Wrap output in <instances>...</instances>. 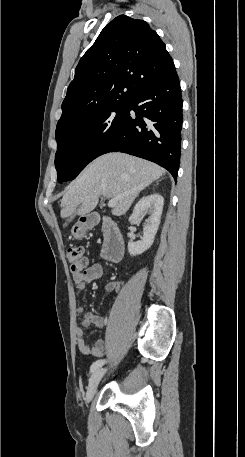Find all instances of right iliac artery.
<instances>
[{
    "label": "right iliac artery",
    "mask_w": 245,
    "mask_h": 457,
    "mask_svg": "<svg viewBox=\"0 0 245 457\" xmlns=\"http://www.w3.org/2000/svg\"><path fill=\"white\" fill-rule=\"evenodd\" d=\"M105 363V359H100V360H97L95 361L91 367H90V372H94L95 370L99 369L100 367H102Z\"/></svg>",
    "instance_id": "1"
}]
</instances>
